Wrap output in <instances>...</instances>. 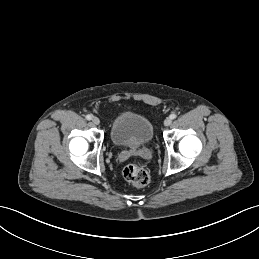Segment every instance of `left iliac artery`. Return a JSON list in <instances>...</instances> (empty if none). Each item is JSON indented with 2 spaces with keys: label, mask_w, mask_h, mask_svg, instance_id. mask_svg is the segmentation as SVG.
I'll return each mask as SVG.
<instances>
[{
  "label": "left iliac artery",
  "mask_w": 259,
  "mask_h": 259,
  "mask_svg": "<svg viewBox=\"0 0 259 259\" xmlns=\"http://www.w3.org/2000/svg\"><path fill=\"white\" fill-rule=\"evenodd\" d=\"M176 117H177L176 114H171V115H170V118H171V119H175Z\"/></svg>",
  "instance_id": "left-iliac-artery-1"
}]
</instances>
